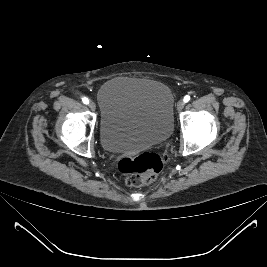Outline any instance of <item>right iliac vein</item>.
Returning <instances> with one entry per match:
<instances>
[{
  "label": "right iliac vein",
  "mask_w": 267,
  "mask_h": 267,
  "mask_svg": "<svg viewBox=\"0 0 267 267\" xmlns=\"http://www.w3.org/2000/svg\"><path fill=\"white\" fill-rule=\"evenodd\" d=\"M89 107H90V109H91L92 111H95V109H96V104H95L93 101H91V102L89 103Z\"/></svg>",
  "instance_id": "obj_1"
}]
</instances>
